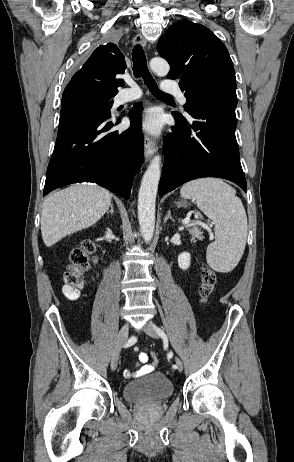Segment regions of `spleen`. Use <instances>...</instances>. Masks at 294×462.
I'll return each mask as SVG.
<instances>
[{
    "label": "spleen",
    "instance_id": "spleen-1",
    "mask_svg": "<svg viewBox=\"0 0 294 462\" xmlns=\"http://www.w3.org/2000/svg\"><path fill=\"white\" fill-rule=\"evenodd\" d=\"M181 196L196 200L198 208L215 223V241L207 248V262L217 272H229L240 261L246 245L247 217L236 190L217 178L190 181Z\"/></svg>",
    "mask_w": 294,
    "mask_h": 462
}]
</instances>
